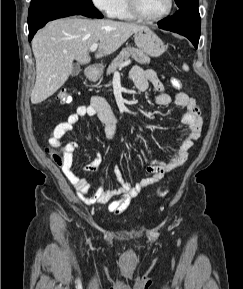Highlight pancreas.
<instances>
[{
  "label": "pancreas",
  "mask_w": 243,
  "mask_h": 289,
  "mask_svg": "<svg viewBox=\"0 0 243 289\" xmlns=\"http://www.w3.org/2000/svg\"><path fill=\"white\" fill-rule=\"evenodd\" d=\"M129 57H132L139 64L150 63V57L148 55L144 54L143 51L137 48L129 46L122 49L119 55H117V57L111 62L107 68V75L116 71L125 60L129 59Z\"/></svg>",
  "instance_id": "pancreas-1"
}]
</instances>
